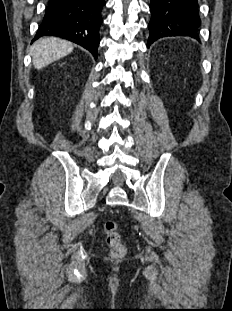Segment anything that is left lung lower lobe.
I'll return each instance as SVG.
<instances>
[{
  "label": "left lung lower lobe",
  "instance_id": "1",
  "mask_svg": "<svg viewBox=\"0 0 232 311\" xmlns=\"http://www.w3.org/2000/svg\"><path fill=\"white\" fill-rule=\"evenodd\" d=\"M150 11L148 47L162 37H198V0H151Z\"/></svg>",
  "mask_w": 232,
  "mask_h": 311
}]
</instances>
